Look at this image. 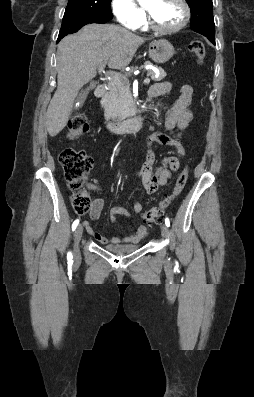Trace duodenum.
<instances>
[{
  "mask_svg": "<svg viewBox=\"0 0 254 397\" xmlns=\"http://www.w3.org/2000/svg\"><path fill=\"white\" fill-rule=\"evenodd\" d=\"M107 94V87L99 85L95 90V95L98 98H104ZM144 125L143 115L140 113L132 114L130 118L124 120H114L110 118L105 119L106 128L117 134H123L129 131L140 130Z\"/></svg>",
  "mask_w": 254,
  "mask_h": 397,
  "instance_id": "obj_1",
  "label": "duodenum"
}]
</instances>
